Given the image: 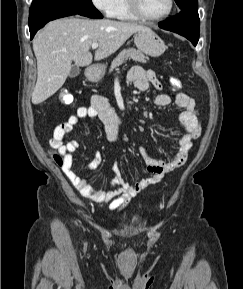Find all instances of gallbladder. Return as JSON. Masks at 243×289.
<instances>
[{
    "label": "gallbladder",
    "mask_w": 243,
    "mask_h": 289,
    "mask_svg": "<svg viewBox=\"0 0 243 289\" xmlns=\"http://www.w3.org/2000/svg\"><path fill=\"white\" fill-rule=\"evenodd\" d=\"M79 73H80V68L78 66H72L69 77L74 78L78 76Z\"/></svg>",
    "instance_id": "obj_1"
}]
</instances>
